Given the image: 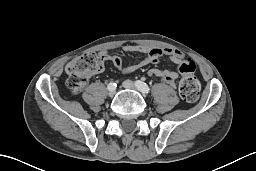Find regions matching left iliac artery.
Wrapping results in <instances>:
<instances>
[{
  "mask_svg": "<svg viewBox=\"0 0 256 171\" xmlns=\"http://www.w3.org/2000/svg\"><path fill=\"white\" fill-rule=\"evenodd\" d=\"M136 87L141 90L143 93H149L150 92V88L148 87V85L145 82H142L140 80H137L135 82Z\"/></svg>",
  "mask_w": 256,
  "mask_h": 171,
  "instance_id": "obj_1",
  "label": "left iliac artery"
}]
</instances>
